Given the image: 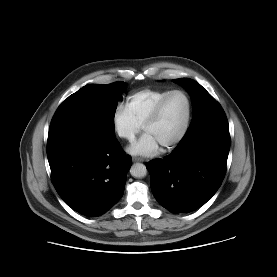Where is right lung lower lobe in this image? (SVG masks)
Masks as SVG:
<instances>
[{"instance_id": "98d812e1", "label": "right lung lower lobe", "mask_w": 277, "mask_h": 277, "mask_svg": "<svg viewBox=\"0 0 277 277\" xmlns=\"http://www.w3.org/2000/svg\"><path fill=\"white\" fill-rule=\"evenodd\" d=\"M47 157L53 185L73 210L97 217L124 193L132 159L114 135L75 116H54Z\"/></svg>"}]
</instances>
